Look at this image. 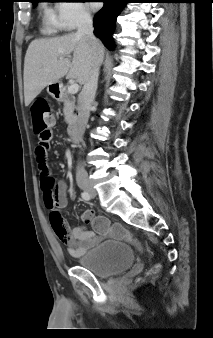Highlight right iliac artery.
I'll list each match as a JSON object with an SVG mask.
<instances>
[{"label": "right iliac artery", "mask_w": 213, "mask_h": 338, "mask_svg": "<svg viewBox=\"0 0 213 338\" xmlns=\"http://www.w3.org/2000/svg\"><path fill=\"white\" fill-rule=\"evenodd\" d=\"M81 197L85 200V201H88L91 199V195L88 193V192H83L81 194Z\"/></svg>", "instance_id": "right-iliac-artery-1"}]
</instances>
